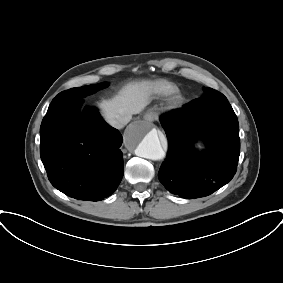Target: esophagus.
Returning a JSON list of instances; mask_svg holds the SVG:
<instances>
[{
    "label": "esophagus",
    "mask_w": 283,
    "mask_h": 283,
    "mask_svg": "<svg viewBox=\"0 0 283 283\" xmlns=\"http://www.w3.org/2000/svg\"><path fill=\"white\" fill-rule=\"evenodd\" d=\"M155 113L154 112H147L145 115H144V119L148 122H152L154 121L155 119Z\"/></svg>",
    "instance_id": "34e87169"
}]
</instances>
